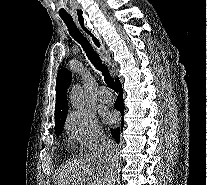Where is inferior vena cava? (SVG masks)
<instances>
[{"label":"inferior vena cava","instance_id":"1","mask_svg":"<svg viewBox=\"0 0 207 185\" xmlns=\"http://www.w3.org/2000/svg\"><path fill=\"white\" fill-rule=\"evenodd\" d=\"M111 161H115L116 165H119L116 157H115V159H111ZM113 179H114V177H110V185H113Z\"/></svg>","mask_w":207,"mask_h":185}]
</instances>
